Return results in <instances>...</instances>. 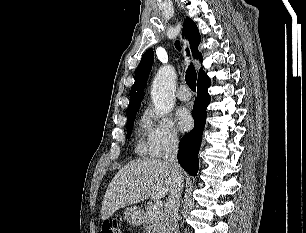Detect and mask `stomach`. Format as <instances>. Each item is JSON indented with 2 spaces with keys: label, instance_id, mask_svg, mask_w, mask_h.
Returning <instances> with one entry per match:
<instances>
[{
  "label": "stomach",
  "instance_id": "0dacf381",
  "mask_svg": "<svg viewBox=\"0 0 306 233\" xmlns=\"http://www.w3.org/2000/svg\"><path fill=\"white\" fill-rule=\"evenodd\" d=\"M125 218L129 224L140 226L144 222L145 215L141 208L130 206L125 210Z\"/></svg>",
  "mask_w": 306,
  "mask_h": 233
}]
</instances>
